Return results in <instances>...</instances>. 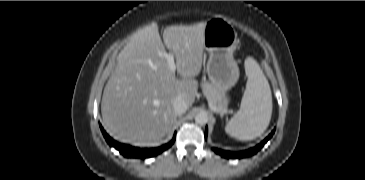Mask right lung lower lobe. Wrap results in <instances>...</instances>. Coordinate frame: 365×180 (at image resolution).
<instances>
[{
    "instance_id": "98d812e1",
    "label": "right lung lower lobe",
    "mask_w": 365,
    "mask_h": 180,
    "mask_svg": "<svg viewBox=\"0 0 365 180\" xmlns=\"http://www.w3.org/2000/svg\"><path fill=\"white\" fill-rule=\"evenodd\" d=\"M100 128L102 131L103 136L105 137L107 143L116 148L124 157L127 158H147V157H153L161 152H163L164 150L168 149L169 147H171V145L174 143L176 134L174 135V138L167 144L160 146L158 148H151V149H140L137 147H132L130 145H126V144H122V143H118L115 140H113L111 137H109V135L104 131L103 127L100 124Z\"/></svg>"
}]
</instances>
